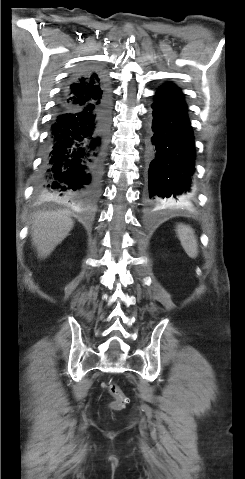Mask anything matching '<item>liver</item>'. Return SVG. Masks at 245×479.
I'll return each instance as SVG.
<instances>
[{
	"mask_svg": "<svg viewBox=\"0 0 245 479\" xmlns=\"http://www.w3.org/2000/svg\"><path fill=\"white\" fill-rule=\"evenodd\" d=\"M74 221L65 212L37 214L31 226L32 243L40 258L48 257L69 234Z\"/></svg>",
	"mask_w": 245,
	"mask_h": 479,
	"instance_id": "obj_1",
	"label": "liver"
}]
</instances>
